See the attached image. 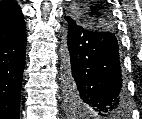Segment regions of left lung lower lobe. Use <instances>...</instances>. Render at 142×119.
<instances>
[{"mask_svg": "<svg viewBox=\"0 0 142 119\" xmlns=\"http://www.w3.org/2000/svg\"><path fill=\"white\" fill-rule=\"evenodd\" d=\"M65 20L64 80L69 109L78 116H127L116 36L87 29L70 16Z\"/></svg>", "mask_w": 142, "mask_h": 119, "instance_id": "0a47b994", "label": "left lung lower lobe"}]
</instances>
